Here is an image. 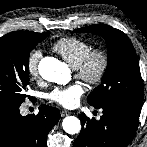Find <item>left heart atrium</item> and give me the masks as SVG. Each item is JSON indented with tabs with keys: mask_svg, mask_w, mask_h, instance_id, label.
Wrapping results in <instances>:
<instances>
[{
	"mask_svg": "<svg viewBox=\"0 0 147 147\" xmlns=\"http://www.w3.org/2000/svg\"><path fill=\"white\" fill-rule=\"evenodd\" d=\"M84 94V87L80 83H74L65 87H56L47 94V99L63 107H74Z\"/></svg>",
	"mask_w": 147,
	"mask_h": 147,
	"instance_id": "obj_1",
	"label": "left heart atrium"
}]
</instances>
